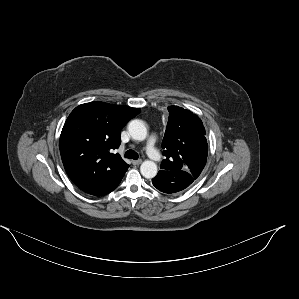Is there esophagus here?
Returning a JSON list of instances; mask_svg holds the SVG:
<instances>
[{
    "instance_id": "1",
    "label": "esophagus",
    "mask_w": 299,
    "mask_h": 299,
    "mask_svg": "<svg viewBox=\"0 0 299 299\" xmlns=\"http://www.w3.org/2000/svg\"><path fill=\"white\" fill-rule=\"evenodd\" d=\"M142 163V160L139 159V160H132V164L133 165H140Z\"/></svg>"
}]
</instances>
